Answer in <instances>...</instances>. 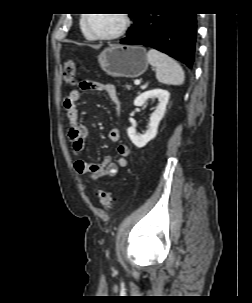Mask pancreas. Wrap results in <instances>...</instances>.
<instances>
[{
	"instance_id": "1",
	"label": "pancreas",
	"mask_w": 252,
	"mask_h": 303,
	"mask_svg": "<svg viewBox=\"0 0 252 303\" xmlns=\"http://www.w3.org/2000/svg\"><path fill=\"white\" fill-rule=\"evenodd\" d=\"M126 88L130 90V89H131V86H130V85H126Z\"/></svg>"
}]
</instances>
